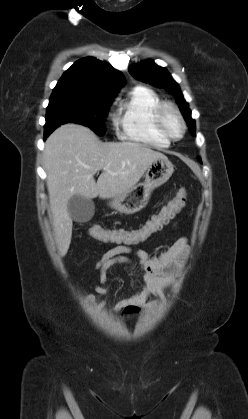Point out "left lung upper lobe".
<instances>
[{
    "instance_id": "obj_1",
    "label": "left lung upper lobe",
    "mask_w": 248,
    "mask_h": 419,
    "mask_svg": "<svg viewBox=\"0 0 248 419\" xmlns=\"http://www.w3.org/2000/svg\"><path fill=\"white\" fill-rule=\"evenodd\" d=\"M129 71L135 78L159 88H163L175 95V100L187 122L189 131L192 136H195V121L191 118V111L188 108V103L185 101L179 85L164 67H160L152 61L147 60L133 66Z\"/></svg>"
}]
</instances>
